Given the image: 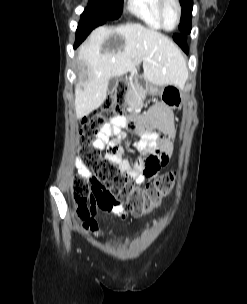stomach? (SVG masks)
I'll return each instance as SVG.
<instances>
[{
    "label": "stomach",
    "mask_w": 247,
    "mask_h": 304,
    "mask_svg": "<svg viewBox=\"0 0 247 304\" xmlns=\"http://www.w3.org/2000/svg\"><path fill=\"white\" fill-rule=\"evenodd\" d=\"M164 104L170 109L180 108L183 104V96L180 88L176 85H165L160 89H155Z\"/></svg>",
    "instance_id": "0dacf381"
}]
</instances>
